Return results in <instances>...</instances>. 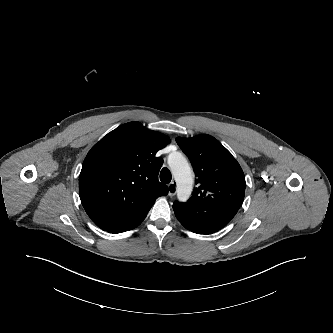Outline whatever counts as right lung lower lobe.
Here are the masks:
<instances>
[{
	"label": "right lung lower lobe",
	"mask_w": 333,
	"mask_h": 333,
	"mask_svg": "<svg viewBox=\"0 0 333 333\" xmlns=\"http://www.w3.org/2000/svg\"><path fill=\"white\" fill-rule=\"evenodd\" d=\"M144 220L143 219H140L134 223H132L131 225L129 226H126V227H123V228H117V229H113V230H110L108 231L109 233H120V232H123V231H128V230H132L134 229L135 227H137L142 221Z\"/></svg>",
	"instance_id": "right-lung-lower-lobe-1"
}]
</instances>
